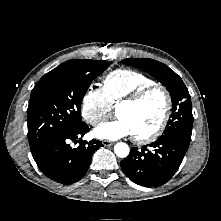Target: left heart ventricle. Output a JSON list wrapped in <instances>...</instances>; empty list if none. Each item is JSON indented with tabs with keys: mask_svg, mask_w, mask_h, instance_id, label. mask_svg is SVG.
Segmentation results:
<instances>
[{
	"mask_svg": "<svg viewBox=\"0 0 221 221\" xmlns=\"http://www.w3.org/2000/svg\"><path fill=\"white\" fill-rule=\"evenodd\" d=\"M164 110L165 97L163 93L154 91L138 105L118 107L115 114L129 124L133 135L141 136L150 133L158 126Z\"/></svg>",
	"mask_w": 221,
	"mask_h": 221,
	"instance_id": "left-heart-ventricle-1",
	"label": "left heart ventricle"
}]
</instances>
